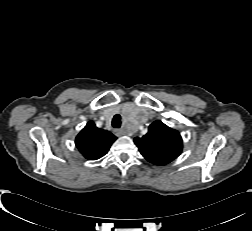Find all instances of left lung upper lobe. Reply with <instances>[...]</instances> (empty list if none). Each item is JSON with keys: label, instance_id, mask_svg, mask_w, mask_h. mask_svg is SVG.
I'll list each match as a JSON object with an SVG mask.
<instances>
[{"label": "left lung upper lobe", "instance_id": "1", "mask_svg": "<svg viewBox=\"0 0 252 231\" xmlns=\"http://www.w3.org/2000/svg\"><path fill=\"white\" fill-rule=\"evenodd\" d=\"M134 143L140 153L155 165H165L177 158L183 148L180 133L161 121L153 122L148 133L136 137Z\"/></svg>", "mask_w": 252, "mask_h": 231}]
</instances>
